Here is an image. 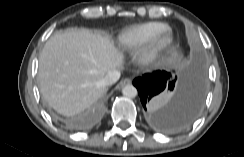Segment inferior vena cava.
Returning a JSON list of instances; mask_svg holds the SVG:
<instances>
[{"mask_svg":"<svg viewBox=\"0 0 244 157\" xmlns=\"http://www.w3.org/2000/svg\"><path fill=\"white\" fill-rule=\"evenodd\" d=\"M120 78V72L117 70L110 71L102 81L104 86H110L116 83Z\"/></svg>","mask_w":244,"mask_h":157,"instance_id":"1","label":"inferior vena cava"}]
</instances>
